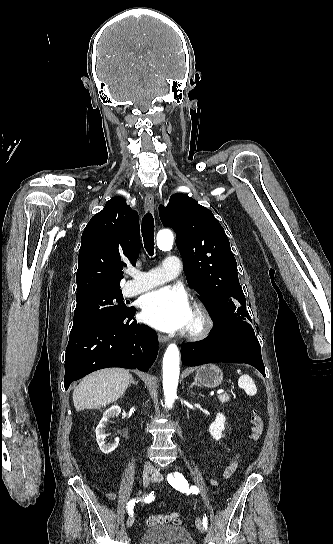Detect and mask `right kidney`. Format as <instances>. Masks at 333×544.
<instances>
[{
  "instance_id": "obj_1",
  "label": "right kidney",
  "mask_w": 333,
  "mask_h": 544,
  "mask_svg": "<svg viewBox=\"0 0 333 544\" xmlns=\"http://www.w3.org/2000/svg\"><path fill=\"white\" fill-rule=\"evenodd\" d=\"M121 412V408L118 405H113L109 409H107L104 414L103 418L100 420L98 426L96 427V440L99 445L100 450L104 454H109L112 451H114L119 443V438L116 437L115 441L113 443L106 444L105 442V426L110 418H114L118 416Z\"/></svg>"
}]
</instances>
